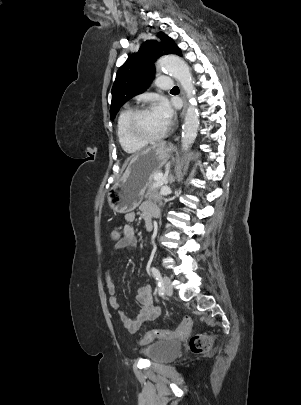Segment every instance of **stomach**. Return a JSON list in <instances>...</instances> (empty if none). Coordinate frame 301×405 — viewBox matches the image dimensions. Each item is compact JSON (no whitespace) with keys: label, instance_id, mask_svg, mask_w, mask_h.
Instances as JSON below:
<instances>
[{"label":"stomach","instance_id":"obj_1","mask_svg":"<svg viewBox=\"0 0 301 405\" xmlns=\"http://www.w3.org/2000/svg\"><path fill=\"white\" fill-rule=\"evenodd\" d=\"M173 151L172 145L160 142L135 155L109 191L110 207L118 213H128L137 208L145 190L153 182L154 174L169 160Z\"/></svg>","mask_w":301,"mask_h":405}]
</instances>
